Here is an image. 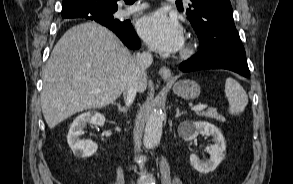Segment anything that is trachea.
Instances as JSON below:
<instances>
[{
	"mask_svg": "<svg viewBox=\"0 0 293 184\" xmlns=\"http://www.w3.org/2000/svg\"><path fill=\"white\" fill-rule=\"evenodd\" d=\"M126 4H132L134 3L136 0H124Z\"/></svg>",
	"mask_w": 293,
	"mask_h": 184,
	"instance_id": "3493384b",
	"label": "trachea"
}]
</instances>
